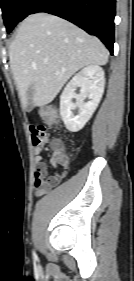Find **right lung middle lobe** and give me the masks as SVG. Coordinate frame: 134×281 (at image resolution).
<instances>
[{"label":"right lung middle lobe","mask_w":134,"mask_h":281,"mask_svg":"<svg viewBox=\"0 0 134 281\" xmlns=\"http://www.w3.org/2000/svg\"><path fill=\"white\" fill-rule=\"evenodd\" d=\"M32 2L33 0H1L3 20L8 33L25 18V12Z\"/></svg>","instance_id":"1"}]
</instances>
